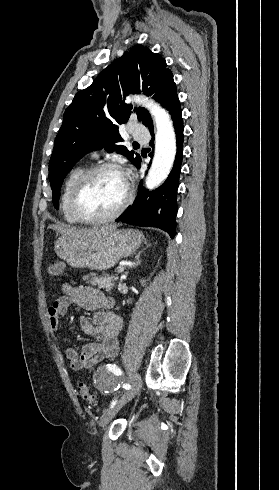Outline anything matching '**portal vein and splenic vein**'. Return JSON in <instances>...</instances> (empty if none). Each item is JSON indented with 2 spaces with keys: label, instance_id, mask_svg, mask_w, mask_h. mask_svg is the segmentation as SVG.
Returning a JSON list of instances; mask_svg holds the SVG:
<instances>
[{
  "label": "portal vein and splenic vein",
  "instance_id": "1",
  "mask_svg": "<svg viewBox=\"0 0 279 490\" xmlns=\"http://www.w3.org/2000/svg\"><path fill=\"white\" fill-rule=\"evenodd\" d=\"M117 272H118V274H121V272H124L123 266H118Z\"/></svg>",
  "mask_w": 279,
  "mask_h": 490
}]
</instances>
